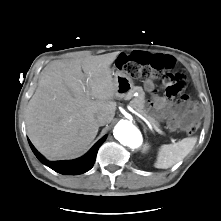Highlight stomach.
Instances as JSON below:
<instances>
[{
  "instance_id": "0dacf381",
  "label": "stomach",
  "mask_w": 221,
  "mask_h": 221,
  "mask_svg": "<svg viewBox=\"0 0 221 221\" xmlns=\"http://www.w3.org/2000/svg\"><path fill=\"white\" fill-rule=\"evenodd\" d=\"M114 81L117 85L118 96L124 97L134 88V82L130 76L121 70L114 73Z\"/></svg>"
}]
</instances>
